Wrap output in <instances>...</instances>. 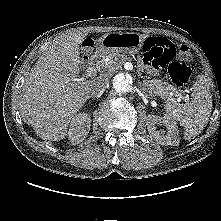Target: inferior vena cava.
<instances>
[{"label":"inferior vena cava","mask_w":221,"mask_h":221,"mask_svg":"<svg viewBox=\"0 0 221 221\" xmlns=\"http://www.w3.org/2000/svg\"><path fill=\"white\" fill-rule=\"evenodd\" d=\"M108 77L109 76L107 74H104L97 81L94 82V85L92 87L93 95L99 94L106 89V86L108 84Z\"/></svg>","instance_id":"obj_1"}]
</instances>
